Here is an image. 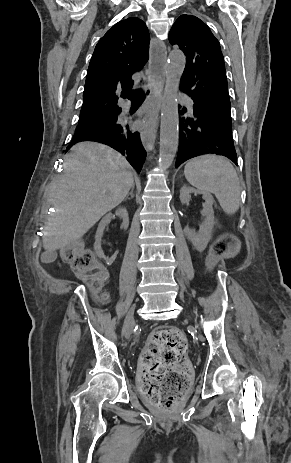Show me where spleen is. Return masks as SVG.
Returning <instances> with one entry per match:
<instances>
[{
  "label": "spleen",
  "instance_id": "obj_1",
  "mask_svg": "<svg viewBox=\"0 0 291 463\" xmlns=\"http://www.w3.org/2000/svg\"><path fill=\"white\" fill-rule=\"evenodd\" d=\"M184 174L192 186L215 194L226 214L233 215L239 210L240 182L226 158L216 155L194 158L185 165Z\"/></svg>",
  "mask_w": 291,
  "mask_h": 463
}]
</instances>
